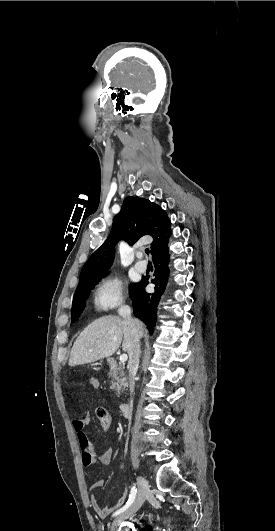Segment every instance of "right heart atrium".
I'll return each instance as SVG.
<instances>
[{
    "label": "right heart atrium",
    "instance_id": "right-heart-atrium-1",
    "mask_svg": "<svg viewBox=\"0 0 275 531\" xmlns=\"http://www.w3.org/2000/svg\"><path fill=\"white\" fill-rule=\"evenodd\" d=\"M121 280L117 277L102 279L95 290V305L99 309L108 310L120 304L122 299Z\"/></svg>",
    "mask_w": 275,
    "mask_h": 531
}]
</instances>
